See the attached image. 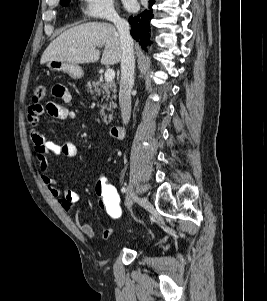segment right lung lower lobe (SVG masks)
Masks as SVG:
<instances>
[{
  "mask_svg": "<svg viewBox=\"0 0 267 301\" xmlns=\"http://www.w3.org/2000/svg\"><path fill=\"white\" fill-rule=\"evenodd\" d=\"M150 7L155 2V0H150ZM152 8L143 13L138 14L137 16H130L129 23L131 24V35L132 37L139 42L141 47L144 49L147 47L150 42V19L153 17L151 14Z\"/></svg>",
  "mask_w": 267,
  "mask_h": 301,
  "instance_id": "98d812e1",
  "label": "right lung lower lobe"
}]
</instances>
